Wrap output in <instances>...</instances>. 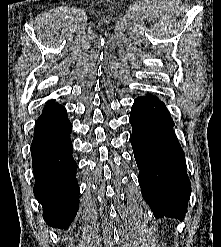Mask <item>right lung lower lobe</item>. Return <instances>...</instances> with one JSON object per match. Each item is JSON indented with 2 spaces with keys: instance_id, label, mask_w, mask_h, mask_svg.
Here are the masks:
<instances>
[{
  "instance_id": "98d812e1",
  "label": "right lung lower lobe",
  "mask_w": 221,
  "mask_h": 247,
  "mask_svg": "<svg viewBox=\"0 0 221 247\" xmlns=\"http://www.w3.org/2000/svg\"><path fill=\"white\" fill-rule=\"evenodd\" d=\"M71 130L65 107L49 101L35 123L31 145L34 195L43 206L46 224L58 229L71 225L79 206Z\"/></svg>"
}]
</instances>
